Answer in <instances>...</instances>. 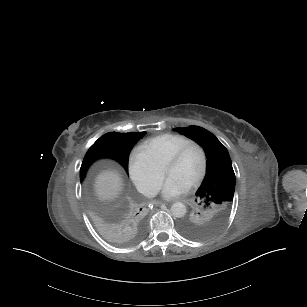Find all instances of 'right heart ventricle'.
I'll list each match as a JSON object with an SVG mask.
<instances>
[{"mask_svg": "<svg viewBox=\"0 0 307 307\" xmlns=\"http://www.w3.org/2000/svg\"><path fill=\"white\" fill-rule=\"evenodd\" d=\"M192 140L191 137L177 133L163 134L157 139V158L164 161L167 156L173 154L182 145Z\"/></svg>", "mask_w": 307, "mask_h": 307, "instance_id": "e07e8e85", "label": "right heart ventricle"}]
</instances>
